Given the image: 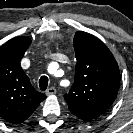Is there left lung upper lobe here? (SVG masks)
Instances as JSON below:
<instances>
[{
  "label": "left lung upper lobe",
  "mask_w": 133,
  "mask_h": 133,
  "mask_svg": "<svg viewBox=\"0 0 133 133\" xmlns=\"http://www.w3.org/2000/svg\"><path fill=\"white\" fill-rule=\"evenodd\" d=\"M73 43L77 59L75 80L64 98L75 116L91 121L114 102L120 72L110 50L95 36L79 31Z\"/></svg>",
  "instance_id": "obj_1"
}]
</instances>
